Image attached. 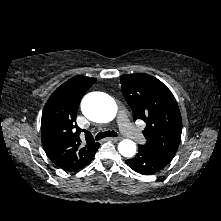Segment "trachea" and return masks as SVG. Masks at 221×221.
Listing matches in <instances>:
<instances>
[{"mask_svg":"<svg viewBox=\"0 0 221 221\" xmlns=\"http://www.w3.org/2000/svg\"><path fill=\"white\" fill-rule=\"evenodd\" d=\"M117 136H118L117 133L114 132V131H105V132H99L96 135L95 139L100 140V139H103L105 137H117Z\"/></svg>","mask_w":221,"mask_h":221,"instance_id":"3493384b","label":"trachea"}]
</instances>
